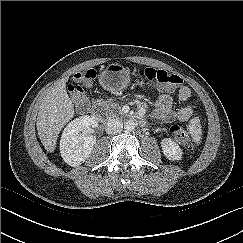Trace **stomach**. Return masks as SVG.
<instances>
[{
	"label": "stomach",
	"mask_w": 243,
	"mask_h": 243,
	"mask_svg": "<svg viewBox=\"0 0 243 243\" xmlns=\"http://www.w3.org/2000/svg\"><path fill=\"white\" fill-rule=\"evenodd\" d=\"M99 82L108 91H121L130 83L129 69L118 63L109 64L102 70Z\"/></svg>",
	"instance_id": "obj_1"
}]
</instances>
